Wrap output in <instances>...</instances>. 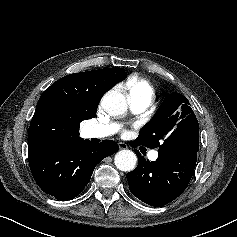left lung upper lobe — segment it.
Instances as JSON below:
<instances>
[{"mask_svg":"<svg viewBox=\"0 0 237 237\" xmlns=\"http://www.w3.org/2000/svg\"><path fill=\"white\" fill-rule=\"evenodd\" d=\"M199 136V124L187 98L167 96L154 117L142 128L136 141L158 152H177Z\"/></svg>","mask_w":237,"mask_h":237,"instance_id":"1","label":"left lung upper lobe"}]
</instances>
